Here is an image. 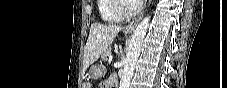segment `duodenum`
<instances>
[{
    "mask_svg": "<svg viewBox=\"0 0 227 88\" xmlns=\"http://www.w3.org/2000/svg\"><path fill=\"white\" fill-rule=\"evenodd\" d=\"M117 85V80L113 81V86L115 87Z\"/></svg>",
    "mask_w": 227,
    "mask_h": 88,
    "instance_id": "duodenum-1",
    "label": "duodenum"
}]
</instances>
